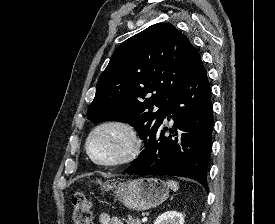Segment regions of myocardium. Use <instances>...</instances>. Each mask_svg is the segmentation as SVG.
I'll use <instances>...</instances> for the list:
<instances>
[{
	"mask_svg": "<svg viewBox=\"0 0 275 224\" xmlns=\"http://www.w3.org/2000/svg\"><path fill=\"white\" fill-rule=\"evenodd\" d=\"M107 127H116L122 129L128 136L129 142H130V148L128 152L121 157L120 159L114 160V161H100L98 160L91 152L90 150V141L92 137L100 130L107 128ZM141 148V141L139 139V136L135 130V128L128 123L127 121L121 120V119H108L105 121H102L95 125L90 132L88 133L86 140H85V151L91 161L101 167H117L122 166L130 163L133 161L137 155L140 152Z\"/></svg>",
	"mask_w": 275,
	"mask_h": 224,
	"instance_id": "obj_1",
	"label": "myocardium"
}]
</instances>
